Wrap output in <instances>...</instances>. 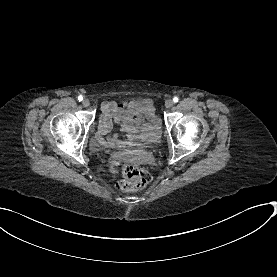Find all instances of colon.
<instances>
[{
  "label": "colon",
  "mask_w": 277,
  "mask_h": 277,
  "mask_svg": "<svg viewBox=\"0 0 277 277\" xmlns=\"http://www.w3.org/2000/svg\"><path fill=\"white\" fill-rule=\"evenodd\" d=\"M123 178L117 183V188L122 192H132L142 188L152 189L157 184V177L147 169L133 163H125L120 168Z\"/></svg>",
  "instance_id": "1"
}]
</instances>
